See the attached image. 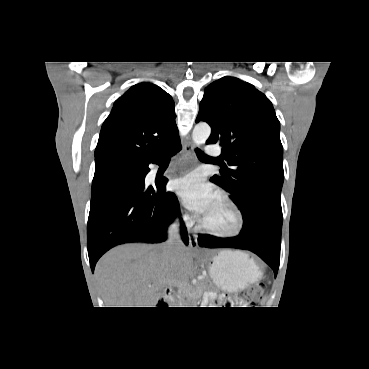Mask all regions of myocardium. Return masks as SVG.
I'll return each mask as SVG.
<instances>
[{
	"mask_svg": "<svg viewBox=\"0 0 369 369\" xmlns=\"http://www.w3.org/2000/svg\"><path fill=\"white\" fill-rule=\"evenodd\" d=\"M217 198L228 206L235 216V225L228 232H220L207 226L202 219L199 220V228L205 233L218 238H234L241 234L244 227V216L239 206L225 193H217Z\"/></svg>",
	"mask_w": 369,
	"mask_h": 369,
	"instance_id": "myocardium-1",
	"label": "myocardium"
}]
</instances>
